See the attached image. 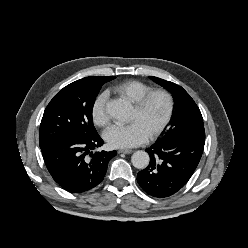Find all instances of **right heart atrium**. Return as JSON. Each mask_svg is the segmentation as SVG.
I'll return each instance as SVG.
<instances>
[{"instance_id": "obj_1", "label": "right heart atrium", "mask_w": 248, "mask_h": 248, "mask_svg": "<svg viewBox=\"0 0 248 248\" xmlns=\"http://www.w3.org/2000/svg\"><path fill=\"white\" fill-rule=\"evenodd\" d=\"M106 101L107 93L103 92L96 97L91 109L93 122L98 126H105L109 122Z\"/></svg>"}]
</instances>
